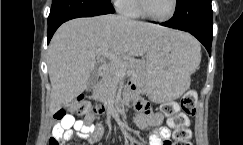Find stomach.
I'll list each match as a JSON object with an SVG mask.
<instances>
[{
    "label": "stomach",
    "mask_w": 243,
    "mask_h": 145,
    "mask_svg": "<svg viewBox=\"0 0 243 145\" xmlns=\"http://www.w3.org/2000/svg\"><path fill=\"white\" fill-rule=\"evenodd\" d=\"M199 53L200 46L192 37L164 35L153 42L146 55L144 79L155 102L174 101L189 88Z\"/></svg>",
    "instance_id": "1"
}]
</instances>
